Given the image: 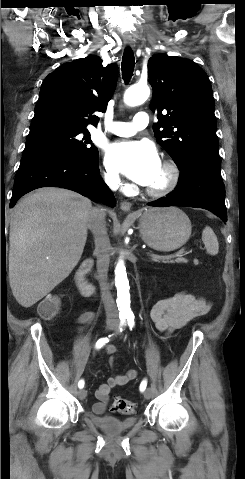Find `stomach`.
<instances>
[{
  "mask_svg": "<svg viewBox=\"0 0 245 479\" xmlns=\"http://www.w3.org/2000/svg\"><path fill=\"white\" fill-rule=\"evenodd\" d=\"M140 234L151 248L169 252L183 246L191 236L188 216L179 208H149L140 214Z\"/></svg>",
  "mask_w": 245,
  "mask_h": 479,
  "instance_id": "0dacf381",
  "label": "stomach"
}]
</instances>
